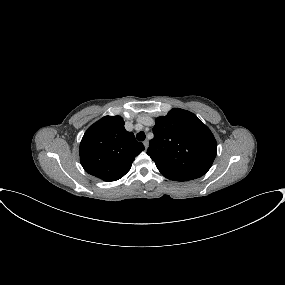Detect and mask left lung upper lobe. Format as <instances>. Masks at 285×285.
Returning a JSON list of instances; mask_svg holds the SVG:
<instances>
[{
    "label": "left lung upper lobe",
    "mask_w": 285,
    "mask_h": 285,
    "mask_svg": "<svg viewBox=\"0 0 285 285\" xmlns=\"http://www.w3.org/2000/svg\"><path fill=\"white\" fill-rule=\"evenodd\" d=\"M147 154L167 179L188 181L203 176L217 154L210 131L193 113L174 108L156 118Z\"/></svg>",
    "instance_id": "obj_1"
}]
</instances>
